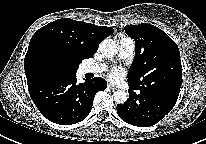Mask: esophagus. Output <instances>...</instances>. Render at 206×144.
Masks as SVG:
<instances>
[{
  "instance_id": "34e87169",
  "label": "esophagus",
  "mask_w": 206,
  "mask_h": 144,
  "mask_svg": "<svg viewBox=\"0 0 206 144\" xmlns=\"http://www.w3.org/2000/svg\"><path fill=\"white\" fill-rule=\"evenodd\" d=\"M108 88H110L111 90H115L117 87L115 85L109 83Z\"/></svg>"
}]
</instances>
